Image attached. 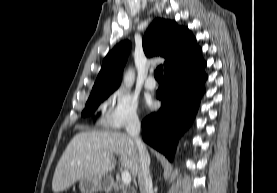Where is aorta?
I'll list each match as a JSON object with an SVG mask.
<instances>
[{
	"mask_svg": "<svg viewBox=\"0 0 277 193\" xmlns=\"http://www.w3.org/2000/svg\"><path fill=\"white\" fill-rule=\"evenodd\" d=\"M135 81V72L132 68H129L128 71L124 74L123 82L126 88H131Z\"/></svg>",
	"mask_w": 277,
	"mask_h": 193,
	"instance_id": "762f6f07",
	"label": "aorta"
}]
</instances>
